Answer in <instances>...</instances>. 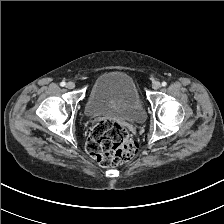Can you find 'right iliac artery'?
Listing matches in <instances>:
<instances>
[{
  "label": "right iliac artery",
  "mask_w": 224,
  "mask_h": 224,
  "mask_svg": "<svg viewBox=\"0 0 224 224\" xmlns=\"http://www.w3.org/2000/svg\"><path fill=\"white\" fill-rule=\"evenodd\" d=\"M66 85V83L64 82V81H62L61 83H60V86H62V87H64Z\"/></svg>",
  "instance_id": "obj_1"
}]
</instances>
